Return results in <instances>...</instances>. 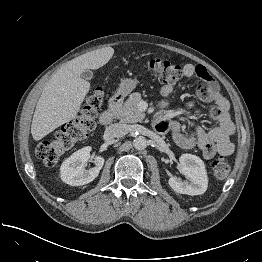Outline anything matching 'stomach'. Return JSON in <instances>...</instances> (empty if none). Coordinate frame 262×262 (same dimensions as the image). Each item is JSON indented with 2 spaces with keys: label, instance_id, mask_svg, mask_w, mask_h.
<instances>
[{
  "label": "stomach",
  "instance_id": "0dacf381",
  "mask_svg": "<svg viewBox=\"0 0 262 262\" xmlns=\"http://www.w3.org/2000/svg\"><path fill=\"white\" fill-rule=\"evenodd\" d=\"M138 85L137 79L132 78H124L121 80V83L118 88V92L122 96H127L130 92H132Z\"/></svg>",
  "mask_w": 262,
  "mask_h": 262
}]
</instances>
